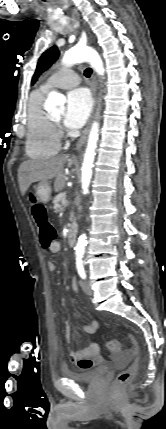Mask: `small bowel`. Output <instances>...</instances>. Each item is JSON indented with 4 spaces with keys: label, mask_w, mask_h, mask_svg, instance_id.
<instances>
[{
    "label": "small bowel",
    "mask_w": 166,
    "mask_h": 429,
    "mask_svg": "<svg viewBox=\"0 0 166 429\" xmlns=\"http://www.w3.org/2000/svg\"><path fill=\"white\" fill-rule=\"evenodd\" d=\"M48 249L51 253H54V254L58 253L61 249L60 243L55 241L54 243L51 244V246ZM47 266H48V269L52 272L56 270V264L53 261H49ZM72 288L74 291H77L78 289L77 283L75 280H72ZM97 327L98 325L96 322H90V321H85L81 326L82 330L88 334L95 333L97 330ZM64 328H65V337L69 344L70 343L69 342L70 325L67 321L64 323ZM69 358L72 363L77 365L82 370H87L92 367L98 366L104 360L100 352V345L97 342H93L88 346H85L79 350H73L70 348Z\"/></svg>",
    "instance_id": "obj_1"
}]
</instances>
